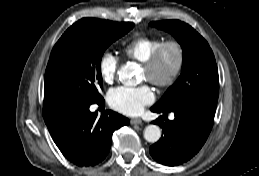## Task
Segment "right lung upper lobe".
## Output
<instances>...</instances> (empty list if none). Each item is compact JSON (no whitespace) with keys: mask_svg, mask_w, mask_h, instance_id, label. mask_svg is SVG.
I'll return each instance as SVG.
<instances>
[{"mask_svg":"<svg viewBox=\"0 0 259 176\" xmlns=\"http://www.w3.org/2000/svg\"><path fill=\"white\" fill-rule=\"evenodd\" d=\"M56 99L57 98L50 92L48 84L46 82H44V103L48 104Z\"/></svg>","mask_w":259,"mask_h":176,"instance_id":"cb5924a9","label":"right lung upper lobe"}]
</instances>
